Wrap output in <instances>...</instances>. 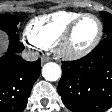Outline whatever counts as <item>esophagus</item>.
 Returning a JSON list of instances; mask_svg holds the SVG:
<instances>
[{"label": "esophagus", "instance_id": "esophagus-1", "mask_svg": "<svg viewBox=\"0 0 112 112\" xmlns=\"http://www.w3.org/2000/svg\"><path fill=\"white\" fill-rule=\"evenodd\" d=\"M47 61H49V58H47V57H42V58H41V62H42V63L47 62Z\"/></svg>", "mask_w": 112, "mask_h": 112}]
</instances>
